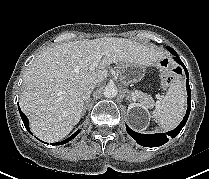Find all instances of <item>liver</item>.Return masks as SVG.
I'll return each instance as SVG.
<instances>
[{
	"mask_svg": "<svg viewBox=\"0 0 209 179\" xmlns=\"http://www.w3.org/2000/svg\"><path fill=\"white\" fill-rule=\"evenodd\" d=\"M103 54L97 69L90 67ZM164 52L139 42L114 37L63 43L45 49L24 74L21 110L30 119L32 132L46 142H57L79 122L84 95L102 82L112 63L154 65Z\"/></svg>",
	"mask_w": 209,
	"mask_h": 179,
	"instance_id": "liver-1",
	"label": "liver"
}]
</instances>
